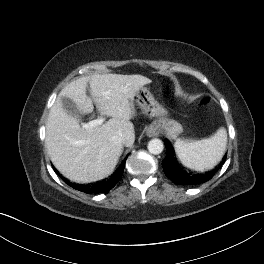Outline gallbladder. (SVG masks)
Masks as SVG:
<instances>
[{
  "label": "gallbladder",
  "mask_w": 264,
  "mask_h": 264,
  "mask_svg": "<svg viewBox=\"0 0 264 264\" xmlns=\"http://www.w3.org/2000/svg\"><path fill=\"white\" fill-rule=\"evenodd\" d=\"M62 106L64 110L70 115L77 119L81 118V112L77 108L76 104L67 97H62Z\"/></svg>",
  "instance_id": "bac80fb5"
}]
</instances>
